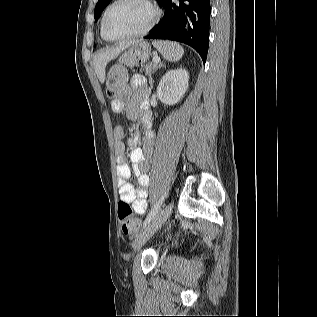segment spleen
Returning a JSON list of instances; mask_svg holds the SVG:
<instances>
[{"label":"spleen","mask_w":317,"mask_h":317,"mask_svg":"<svg viewBox=\"0 0 317 317\" xmlns=\"http://www.w3.org/2000/svg\"><path fill=\"white\" fill-rule=\"evenodd\" d=\"M153 46L161 53V55L168 61H179L183 54L184 49L181 45L170 41H155Z\"/></svg>","instance_id":"obj_1"}]
</instances>
